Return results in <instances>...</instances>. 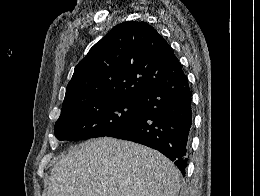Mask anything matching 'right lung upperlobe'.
<instances>
[{"label":"right lung upper lobe","mask_w":260,"mask_h":196,"mask_svg":"<svg viewBox=\"0 0 260 196\" xmlns=\"http://www.w3.org/2000/svg\"><path fill=\"white\" fill-rule=\"evenodd\" d=\"M184 72L167 41L145 22H123L75 67L62 108L102 95L140 98Z\"/></svg>","instance_id":"cb5924a9"}]
</instances>
